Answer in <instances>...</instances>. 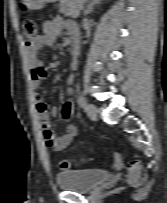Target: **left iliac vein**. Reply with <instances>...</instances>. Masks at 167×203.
<instances>
[{
    "label": "left iliac vein",
    "mask_w": 167,
    "mask_h": 203,
    "mask_svg": "<svg viewBox=\"0 0 167 203\" xmlns=\"http://www.w3.org/2000/svg\"><path fill=\"white\" fill-rule=\"evenodd\" d=\"M86 113L91 120H97L98 118L97 109L93 104L87 105Z\"/></svg>",
    "instance_id": "obj_1"
}]
</instances>
